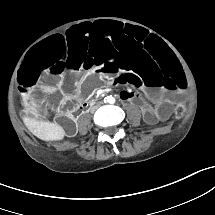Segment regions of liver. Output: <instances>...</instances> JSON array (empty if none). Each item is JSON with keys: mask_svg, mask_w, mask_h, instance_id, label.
Masks as SVG:
<instances>
[{"mask_svg": "<svg viewBox=\"0 0 215 215\" xmlns=\"http://www.w3.org/2000/svg\"><path fill=\"white\" fill-rule=\"evenodd\" d=\"M23 122L28 130L44 141L62 140L65 135L64 129L54 123L38 121L32 118L25 117Z\"/></svg>", "mask_w": 215, "mask_h": 215, "instance_id": "6515ba94", "label": "liver"}]
</instances>
